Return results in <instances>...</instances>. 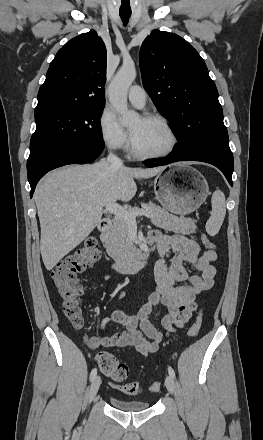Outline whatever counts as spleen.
<instances>
[{
  "label": "spleen",
  "mask_w": 263,
  "mask_h": 440,
  "mask_svg": "<svg viewBox=\"0 0 263 440\" xmlns=\"http://www.w3.org/2000/svg\"><path fill=\"white\" fill-rule=\"evenodd\" d=\"M212 212L206 223V231L210 236H215L224 221L226 214V200L224 193L218 188L211 198Z\"/></svg>",
  "instance_id": "spleen-1"
}]
</instances>
